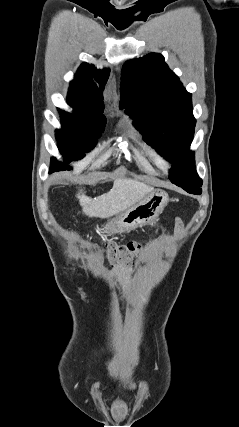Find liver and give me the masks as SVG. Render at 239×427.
<instances>
[{"label":"liver","instance_id":"6515ba94","mask_svg":"<svg viewBox=\"0 0 239 427\" xmlns=\"http://www.w3.org/2000/svg\"><path fill=\"white\" fill-rule=\"evenodd\" d=\"M153 187L136 180L115 178L112 189L97 198H90L81 189L77 198L88 217L109 218L142 201Z\"/></svg>","mask_w":239,"mask_h":427}]
</instances>
